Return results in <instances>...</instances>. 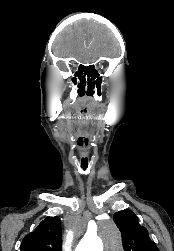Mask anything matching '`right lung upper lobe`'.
I'll return each mask as SVG.
<instances>
[{"label": "right lung upper lobe", "mask_w": 174, "mask_h": 251, "mask_svg": "<svg viewBox=\"0 0 174 251\" xmlns=\"http://www.w3.org/2000/svg\"><path fill=\"white\" fill-rule=\"evenodd\" d=\"M61 223L58 217H47L21 243L20 251H61Z\"/></svg>", "instance_id": "1"}]
</instances>
